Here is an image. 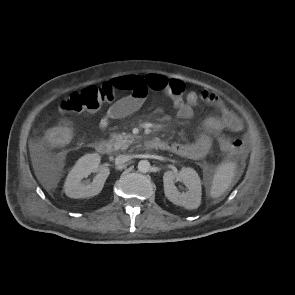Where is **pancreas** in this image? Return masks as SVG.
Here are the masks:
<instances>
[{"label": "pancreas", "instance_id": "obj_1", "mask_svg": "<svg viewBox=\"0 0 295 295\" xmlns=\"http://www.w3.org/2000/svg\"><path fill=\"white\" fill-rule=\"evenodd\" d=\"M111 140L114 142V149L115 150H125L129 147V145L134 142V136L131 134H112L111 135Z\"/></svg>", "mask_w": 295, "mask_h": 295}]
</instances>
